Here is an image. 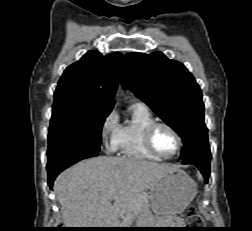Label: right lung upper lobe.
<instances>
[{
  "mask_svg": "<svg viewBox=\"0 0 252 231\" xmlns=\"http://www.w3.org/2000/svg\"><path fill=\"white\" fill-rule=\"evenodd\" d=\"M121 60L120 52L103 56L98 51H88L65 69L54 93V104L112 110Z\"/></svg>",
  "mask_w": 252,
  "mask_h": 231,
  "instance_id": "obj_1",
  "label": "right lung upper lobe"
}]
</instances>
